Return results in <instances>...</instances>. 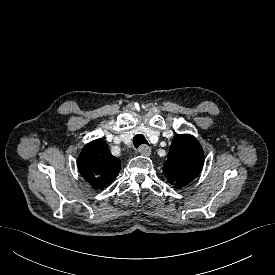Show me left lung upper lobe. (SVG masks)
Returning a JSON list of instances; mask_svg holds the SVG:
<instances>
[{
    "mask_svg": "<svg viewBox=\"0 0 275 275\" xmlns=\"http://www.w3.org/2000/svg\"><path fill=\"white\" fill-rule=\"evenodd\" d=\"M203 164L204 152L199 142L192 135L177 134L173 138L163 172L171 184L181 188L200 174Z\"/></svg>",
    "mask_w": 275,
    "mask_h": 275,
    "instance_id": "left-lung-upper-lobe-1",
    "label": "left lung upper lobe"
}]
</instances>
